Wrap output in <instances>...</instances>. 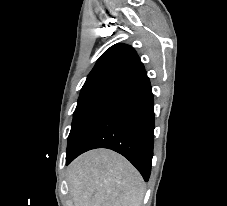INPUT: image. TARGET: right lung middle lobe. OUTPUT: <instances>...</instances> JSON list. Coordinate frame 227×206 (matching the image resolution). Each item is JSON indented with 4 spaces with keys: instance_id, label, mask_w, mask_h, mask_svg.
Listing matches in <instances>:
<instances>
[{
    "instance_id": "dd1d6c3e",
    "label": "right lung middle lobe",
    "mask_w": 227,
    "mask_h": 206,
    "mask_svg": "<svg viewBox=\"0 0 227 206\" xmlns=\"http://www.w3.org/2000/svg\"><path fill=\"white\" fill-rule=\"evenodd\" d=\"M128 87V82L119 80H106L83 86L73 114L67 155L74 150L82 136L102 111L124 94Z\"/></svg>"
}]
</instances>
